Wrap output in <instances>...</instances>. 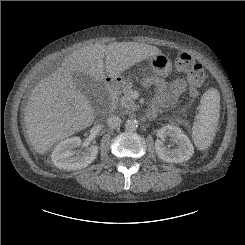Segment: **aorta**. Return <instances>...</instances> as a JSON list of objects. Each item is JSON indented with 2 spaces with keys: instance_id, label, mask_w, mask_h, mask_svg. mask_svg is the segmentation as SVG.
<instances>
[{
  "instance_id": "762f6f07",
  "label": "aorta",
  "mask_w": 245,
  "mask_h": 245,
  "mask_svg": "<svg viewBox=\"0 0 245 245\" xmlns=\"http://www.w3.org/2000/svg\"><path fill=\"white\" fill-rule=\"evenodd\" d=\"M138 127V122L135 119H128L125 122V128L127 131H135Z\"/></svg>"
}]
</instances>
